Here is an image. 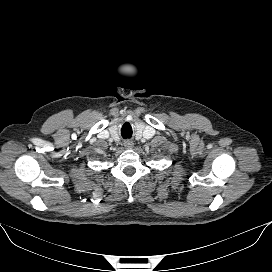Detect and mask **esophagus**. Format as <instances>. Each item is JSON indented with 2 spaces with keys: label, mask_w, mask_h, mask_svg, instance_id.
<instances>
[{
  "label": "esophagus",
  "mask_w": 272,
  "mask_h": 272,
  "mask_svg": "<svg viewBox=\"0 0 272 272\" xmlns=\"http://www.w3.org/2000/svg\"><path fill=\"white\" fill-rule=\"evenodd\" d=\"M124 146H125L126 148H132V147H133V143L130 142V141H126V142L124 143Z\"/></svg>",
  "instance_id": "esophagus-1"
}]
</instances>
